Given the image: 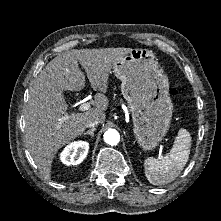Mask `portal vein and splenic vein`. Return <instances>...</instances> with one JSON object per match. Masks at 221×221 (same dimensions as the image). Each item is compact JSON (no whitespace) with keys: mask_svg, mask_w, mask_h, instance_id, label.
<instances>
[{"mask_svg":"<svg viewBox=\"0 0 221 221\" xmlns=\"http://www.w3.org/2000/svg\"><path fill=\"white\" fill-rule=\"evenodd\" d=\"M90 108H91L90 102H81L78 109H79V111H86V110H89ZM159 158L161 159L162 156H159Z\"/></svg>","mask_w":221,"mask_h":221,"instance_id":"18ae733b","label":"portal vein and splenic vein"}]
</instances>
